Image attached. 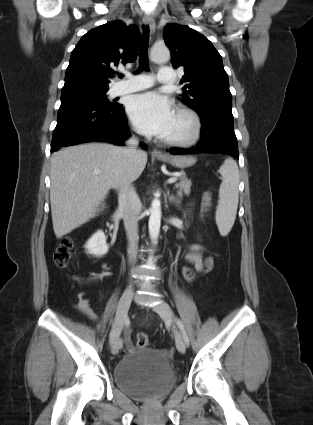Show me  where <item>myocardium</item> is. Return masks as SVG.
Listing matches in <instances>:
<instances>
[{
    "label": "myocardium",
    "instance_id": "myocardium-1",
    "mask_svg": "<svg viewBox=\"0 0 313 425\" xmlns=\"http://www.w3.org/2000/svg\"><path fill=\"white\" fill-rule=\"evenodd\" d=\"M175 113L188 120L190 130L184 136L164 138L163 142L171 146H190L195 144L199 140L202 132V121L200 116L197 112L188 107H178Z\"/></svg>",
    "mask_w": 313,
    "mask_h": 425
}]
</instances>
